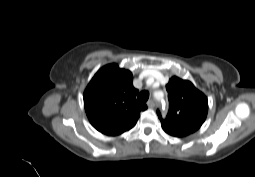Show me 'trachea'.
Masks as SVG:
<instances>
[{
  "mask_svg": "<svg viewBox=\"0 0 255 177\" xmlns=\"http://www.w3.org/2000/svg\"><path fill=\"white\" fill-rule=\"evenodd\" d=\"M149 98V92L148 91H142L140 92V94L138 95V100L142 103L147 102Z\"/></svg>",
  "mask_w": 255,
  "mask_h": 177,
  "instance_id": "trachea-1",
  "label": "trachea"
}]
</instances>
